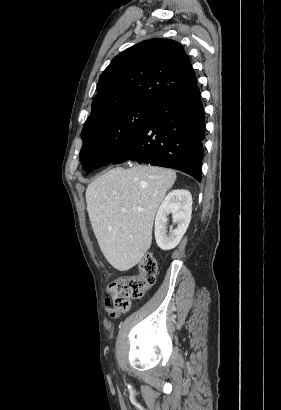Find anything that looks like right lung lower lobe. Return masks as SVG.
I'll list each match as a JSON object with an SVG mask.
<instances>
[{
	"instance_id": "98d812e1",
	"label": "right lung lower lobe",
	"mask_w": 281,
	"mask_h": 410,
	"mask_svg": "<svg viewBox=\"0 0 281 410\" xmlns=\"http://www.w3.org/2000/svg\"><path fill=\"white\" fill-rule=\"evenodd\" d=\"M205 115L197 86L156 107L153 118L112 163L137 161L183 171L201 181Z\"/></svg>"
}]
</instances>
